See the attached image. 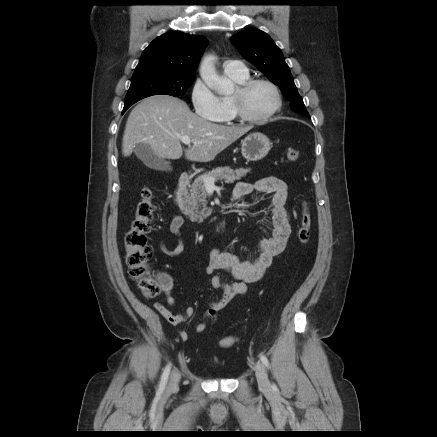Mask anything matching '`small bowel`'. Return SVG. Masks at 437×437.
Masks as SVG:
<instances>
[{
	"label": "small bowel",
	"mask_w": 437,
	"mask_h": 437,
	"mask_svg": "<svg viewBox=\"0 0 437 437\" xmlns=\"http://www.w3.org/2000/svg\"><path fill=\"white\" fill-rule=\"evenodd\" d=\"M259 192L270 196L269 207L272 212L273 235L271 238L262 239L258 243L259 251L252 259H241L239 256L229 252H221L213 249L209 255V263L206 272L212 275L211 285L214 289L221 290L223 296L218 301H211L209 308L203 316L201 322L196 326L197 332H203L208 320L215 321L218 313L230 303L232 299L246 293L248 285L259 281L266 270L270 268L274 258L279 255L286 247L289 235L291 233L290 216L286 209L288 196V187L286 183L277 177H265L254 184L248 182L237 183L233 197L241 199L252 192ZM184 224V219L180 215L173 216L170 223V232L180 237V229ZM160 249L169 256L179 255L184 244L179 238L176 246L169 249L163 242L160 243ZM218 272L227 273L234 279L230 283L222 280ZM163 291L166 295V303L169 306L175 304V298L171 294L173 282L168 275H162ZM159 314L170 324L178 325L192 318L195 314L193 307H187L182 314H173L166 306L157 303L155 305ZM181 340L188 339V333L179 332Z\"/></svg>",
	"instance_id": "1"
}]
</instances>
